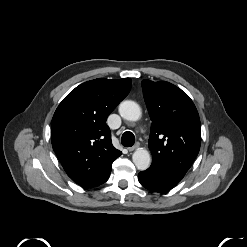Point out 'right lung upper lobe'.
I'll return each mask as SVG.
<instances>
[{"label": "right lung upper lobe", "mask_w": 247, "mask_h": 247, "mask_svg": "<svg viewBox=\"0 0 247 247\" xmlns=\"http://www.w3.org/2000/svg\"><path fill=\"white\" fill-rule=\"evenodd\" d=\"M131 79H95L72 90L56 109L51 142L65 172L83 188L105 183L122 153L111 142L108 115L128 95Z\"/></svg>", "instance_id": "right-lung-upper-lobe-1"}]
</instances>
